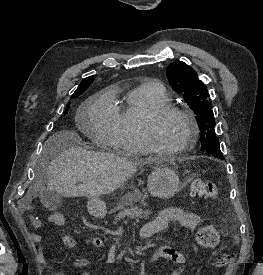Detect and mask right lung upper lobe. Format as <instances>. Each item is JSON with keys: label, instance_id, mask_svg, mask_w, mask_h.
I'll return each mask as SVG.
<instances>
[{"label": "right lung upper lobe", "instance_id": "cb5924a9", "mask_svg": "<svg viewBox=\"0 0 263 275\" xmlns=\"http://www.w3.org/2000/svg\"><path fill=\"white\" fill-rule=\"evenodd\" d=\"M94 79H95V75L83 79V80L81 81L79 87L77 88V90L74 92L73 95L79 93L81 90H83V89H85V88L87 89V88L91 85V83L94 81ZM73 95H72V96H73Z\"/></svg>", "mask_w": 263, "mask_h": 275}]
</instances>
